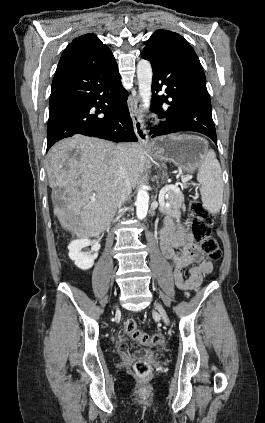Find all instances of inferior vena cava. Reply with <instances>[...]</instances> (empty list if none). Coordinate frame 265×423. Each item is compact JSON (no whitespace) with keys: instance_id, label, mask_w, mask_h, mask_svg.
Here are the masks:
<instances>
[{"instance_id":"602c4592","label":"inferior vena cava","mask_w":265,"mask_h":423,"mask_svg":"<svg viewBox=\"0 0 265 423\" xmlns=\"http://www.w3.org/2000/svg\"><path fill=\"white\" fill-rule=\"evenodd\" d=\"M121 149L118 148V162H119V177H118V185L116 191L117 197V205L121 206V204L127 200V198L131 194V181L128 176V171L126 167V161L120 154Z\"/></svg>"}]
</instances>
